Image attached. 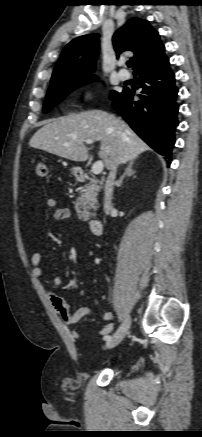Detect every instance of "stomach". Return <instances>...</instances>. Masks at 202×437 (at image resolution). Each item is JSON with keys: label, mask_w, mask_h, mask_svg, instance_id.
<instances>
[{"label": "stomach", "mask_w": 202, "mask_h": 437, "mask_svg": "<svg viewBox=\"0 0 202 437\" xmlns=\"http://www.w3.org/2000/svg\"><path fill=\"white\" fill-rule=\"evenodd\" d=\"M78 171H79V168H77V167L72 168V173L73 174L76 175L78 173Z\"/></svg>", "instance_id": "1"}]
</instances>
